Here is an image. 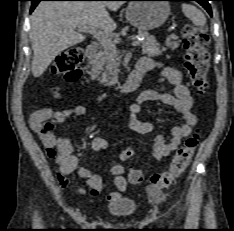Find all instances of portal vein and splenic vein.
Instances as JSON below:
<instances>
[{"label": "portal vein and splenic vein", "instance_id": "18ae733b", "mask_svg": "<svg viewBox=\"0 0 234 231\" xmlns=\"http://www.w3.org/2000/svg\"><path fill=\"white\" fill-rule=\"evenodd\" d=\"M78 28L82 32H87L92 34L100 44L105 48L116 49L114 42L111 40L109 35L95 27L88 25H78ZM140 44L139 41H133L132 46H138Z\"/></svg>", "mask_w": 234, "mask_h": 231}]
</instances>
